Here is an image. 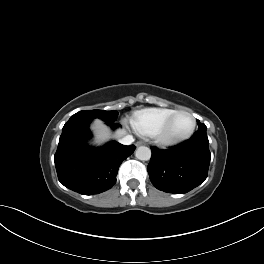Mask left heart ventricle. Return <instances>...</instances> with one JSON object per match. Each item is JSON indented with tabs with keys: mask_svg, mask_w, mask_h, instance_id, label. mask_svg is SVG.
<instances>
[{
	"mask_svg": "<svg viewBox=\"0 0 264 264\" xmlns=\"http://www.w3.org/2000/svg\"><path fill=\"white\" fill-rule=\"evenodd\" d=\"M192 121L187 114L177 115L171 123L168 130L169 136H180L189 131L191 128Z\"/></svg>",
	"mask_w": 264,
	"mask_h": 264,
	"instance_id": "1",
	"label": "left heart ventricle"
}]
</instances>
